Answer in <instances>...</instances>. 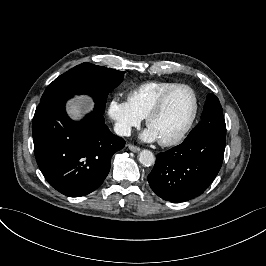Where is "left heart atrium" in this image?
Listing matches in <instances>:
<instances>
[{
  "label": "left heart atrium",
  "mask_w": 266,
  "mask_h": 266,
  "mask_svg": "<svg viewBox=\"0 0 266 266\" xmlns=\"http://www.w3.org/2000/svg\"><path fill=\"white\" fill-rule=\"evenodd\" d=\"M142 137L143 139L147 140V141H155L158 139V136L156 135V133L154 132V130L148 126L142 133Z\"/></svg>",
  "instance_id": "39dd6f15"
}]
</instances>
